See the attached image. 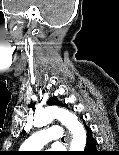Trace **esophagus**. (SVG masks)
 <instances>
[{
  "label": "esophagus",
  "mask_w": 119,
  "mask_h": 155,
  "mask_svg": "<svg viewBox=\"0 0 119 155\" xmlns=\"http://www.w3.org/2000/svg\"><path fill=\"white\" fill-rule=\"evenodd\" d=\"M69 140H70V136H69V134H67V136H66V142L68 143Z\"/></svg>",
  "instance_id": "1"
}]
</instances>
